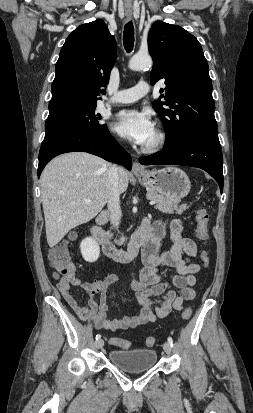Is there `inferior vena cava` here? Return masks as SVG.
<instances>
[{"label":"inferior vena cava","mask_w":253,"mask_h":413,"mask_svg":"<svg viewBox=\"0 0 253 413\" xmlns=\"http://www.w3.org/2000/svg\"><path fill=\"white\" fill-rule=\"evenodd\" d=\"M119 172L120 168L116 164L110 165L108 170V178L111 191L107 206L110 212V222L115 228H118L121 218L120 191L118 188Z\"/></svg>","instance_id":"1"}]
</instances>
